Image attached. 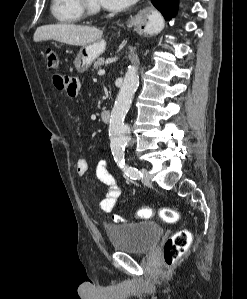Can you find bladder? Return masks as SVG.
I'll return each mask as SVG.
<instances>
[{
    "label": "bladder",
    "instance_id": "1",
    "mask_svg": "<svg viewBox=\"0 0 247 299\" xmlns=\"http://www.w3.org/2000/svg\"><path fill=\"white\" fill-rule=\"evenodd\" d=\"M163 232L159 224L151 221L107 228V236L113 249L134 254H145L151 251Z\"/></svg>",
    "mask_w": 247,
    "mask_h": 299
}]
</instances>
